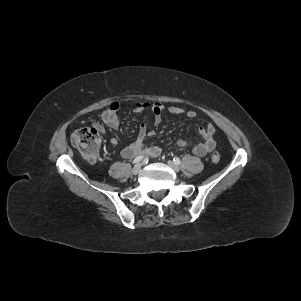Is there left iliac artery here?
Masks as SVG:
<instances>
[{"label": "left iliac artery", "instance_id": "44dca946", "mask_svg": "<svg viewBox=\"0 0 301 301\" xmlns=\"http://www.w3.org/2000/svg\"><path fill=\"white\" fill-rule=\"evenodd\" d=\"M173 161H174V163L175 164H177V165H179L180 164V159L178 158V157H175L174 159H173Z\"/></svg>", "mask_w": 301, "mask_h": 301}]
</instances>
